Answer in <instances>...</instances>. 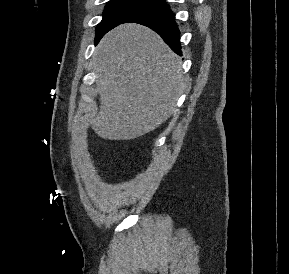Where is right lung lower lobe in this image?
Segmentation results:
<instances>
[{
  "label": "right lung lower lobe",
  "mask_w": 289,
  "mask_h": 274,
  "mask_svg": "<svg viewBox=\"0 0 289 274\" xmlns=\"http://www.w3.org/2000/svg\"><path fill=\"white\" fill-rule=\"evenodd\" d=\"M123 23H138L150 27L175 53L181 55L179 29L174 20V14L165 2L137 14Z\"/></svg>",
  "instance_id": "98d812e1"
}]
</instances>
